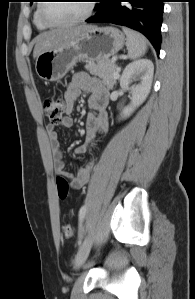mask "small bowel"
<instances>
[{
  "label": "small bowel",
  "mask_w": 195,
  "mask_h": 299,
  "mask_svg": "<svg viewBox=\"0 0 195 299\" xmlns=\"http://www.w3.org/2000/svg\"><path fill=\"white\" fill-rule=\"evenodd\" d=\"M83 93H88L90 95L89 103L93 112L87 116L85 123L87 143L76 148L75 154L77 155L86 153L88 144L97 134L104 132L108 126L106 111L108 89L97 79L82 72L76 73L66 88L64 95L66 114L69 115L74 111L75 103ZM60 124L62 127L72 128L73 120L66 116L62 119ZM46 132L56 174L69 179L70 187L72 189H81L90 180L94 163L92 161L89 162L76 176H73L66 170L63 154L60 148L59 136L55 131V126L53 124H48Z\"/></svg>",
  "instance_id": "small-bowel-1"
}]
</instances>
